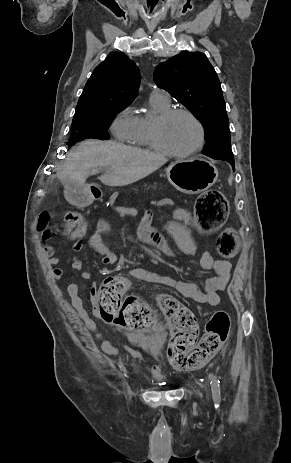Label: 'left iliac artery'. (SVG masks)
I'll use <instances>...</instances> for the list:
<instances>
[{
	"label": "left iliac artery",
	"instance_id": "44dca946",
	"mask_svg": "<svg viewBox=\"0 0 291 463\" xmlns=\"http://www.w3.org/2000/svg\"><path fill=\"white\" fill-rule=\"evenodd\" d=\"M211 389L213 394V399L215 402L220 401V381L216 376L211 375Z\"/></svg>",
	"mask_w": 291,
	"mask_h": 463
}]
</instances>
